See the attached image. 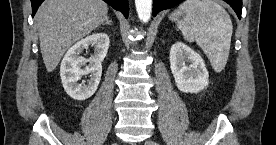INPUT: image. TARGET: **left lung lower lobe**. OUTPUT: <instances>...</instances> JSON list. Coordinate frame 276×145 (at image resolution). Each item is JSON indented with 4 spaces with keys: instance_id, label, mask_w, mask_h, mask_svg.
Wrapping results in <instances>:
<instances>
[{
    "instance_id": "left-lung-lower-lobe-1",
    "label": "left lung lower lobe",
    "mask_w": 276,
    "mask_h": 145,
    "mask_svg": "<svg viewBox=\"0 0 276 145\" xmlns=\"http://www.w3.org/2000/svg\"><path fill=\"white\" fill-rule=\"evenodd\" d=\"M183 0H153V16L162 10L171 8ZM227 2L236 12L239 19H241L242 13V0H224Z\"/></svg>"
}]
</instances>
